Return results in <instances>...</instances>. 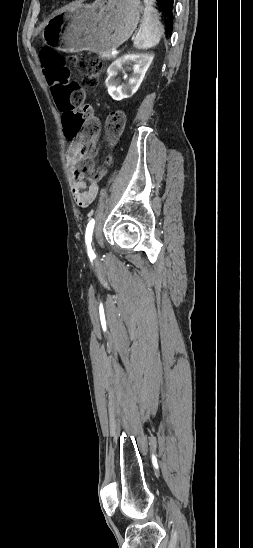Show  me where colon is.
<instances>
[{
	"instance_id": "obj_1",
	"label": "colon",
	"mask_w": 253,
	"mask_h": 548,
	"mask_svg": "<svg viewBox=\"0 0 253 548\" xmlns=\"http://www.w3.org/2000/svg\"><path fill=\"white\" fill-rule=\"evenodd\" d=\"M42 73L46 74L49 97L54 99L58 110L63 115L62 134L64 137L84 136L81 157L76 164V171L90 180L98 181L106 173L104 167H96L94 155L96 140L100 134L101 124L84 102V92L71 76L69 64L74 67L84 87H94L98 83L104 64L100 60L82 55L63 57L50 48L40 51ZM126 116L123 110H113L106 119L105 130L111 142L118 138L125 126Z\"/></svg>"
}]
</instances>
